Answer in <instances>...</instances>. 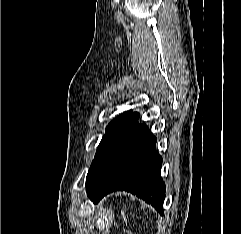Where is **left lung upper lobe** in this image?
<instances>
[{
	"label": "left lung upper lobe",
	"mask_w": 241,
	"mask_h": 234,
	"mask_svg": "<svg viewBox=\"0 0 241 234\" xmlns=\"http://www.w3.org/2000/svg\"><path fill=\"white\" fill-rule=\"evenodd\" d=\"M131 114H132L131 111L125 112L120 116H118L117 118H115L113 121H111L107 126L106 133L103 136L97 148L96 155L94 157V160L89 168V171L86 177V190H88L91 181L98 173L112 143L114 142L115 138L119 134L120 130L122 129L127 119L131 116Z\"/></svg>",
	"instance_id": "obj_1"
}]
</instances>
